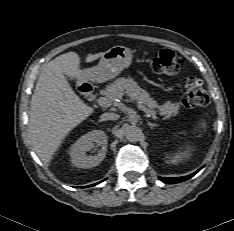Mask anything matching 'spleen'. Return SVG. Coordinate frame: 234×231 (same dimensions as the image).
Returning a JSON list of instances; mask_svg holds the SVG:
<instances>
[{"instance_id":"spleen-1","label":"spleen","mask_w":234,"mask_h":231,"mask_svg":"<svg viewBox=\"0 0 234 231\" xmlns=\"http://www.w3.org/2000/svg\"><path fill=\"white\" fill-rule=\"evenodd\" d=\"M201 124H202L201 126H202L203 128H205V127H206V125H205L204 121H203Z\"/></svg>"}]
</instances>
